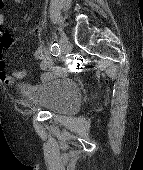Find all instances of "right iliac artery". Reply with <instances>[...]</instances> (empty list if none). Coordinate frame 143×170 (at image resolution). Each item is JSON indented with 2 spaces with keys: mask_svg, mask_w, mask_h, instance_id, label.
<instances>
[{
  "mask_svg": "<svg viewBox=\"0 0 143 170\" xmlns=\"http://www.w3.org/2000/svg\"><path fill=\"white\" fill-rule=\"evenodd\" d=\"M51 54L57 57L60 54V46L58 43H54L50 48Z\"/></svg>",
  "mask_w": 143,
  "mask_h": 170,
  "instance_id": "1",
  "label": "right iliac artery"
}]
</instances>
